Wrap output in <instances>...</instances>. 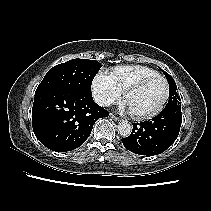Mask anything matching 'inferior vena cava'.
<instances>
[{
    "mask_svg": "<svg viewBox=\"0 0 211 211\" xmlns=\"http://www.w3.org/2000/svg\"><path fill=\"white\" fill-rule=\"evenodd\" d=\"M95 101L100 106H109V105L112 104V99L111 98H107V97L98 96V97L95 98Z\"/></svg>",
    "mask_w": 211,
    "mask_h": 211,
    "instance_id": "inferior-vena-cava-1",
    "label": "inferior vena cava"
}]
</instances>
